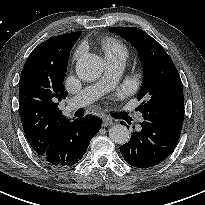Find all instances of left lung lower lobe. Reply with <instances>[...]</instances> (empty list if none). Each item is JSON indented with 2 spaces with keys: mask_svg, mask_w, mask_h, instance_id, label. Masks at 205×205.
Segmentation results:
<instances>
[{
  "mask_svg": "<svg viewBox=\"0 0 205 205\" xmlns=\"http://www.w3.org/2000/svg\"><path fill=\"white\" fill-rule=\"evenodd\" d=\"M184 109L162 110L146 117L142 129L133 132L129 142L120 146L125 161L137 168H149L161 163L174 150L180 137Z\"/></svg>",
  "mask_w": 205,
  "mask_h": 205,
  "instance_id": "0a47b994",
  "label": "left lung lower lobe"
}]
</instances>
